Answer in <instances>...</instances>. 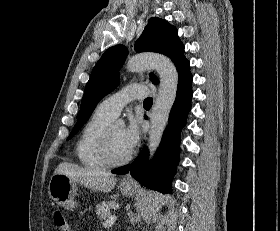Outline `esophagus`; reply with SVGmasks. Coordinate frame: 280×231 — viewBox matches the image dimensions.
<instances>
[{"label":"esophagus","mask_w":280,"mask_h":231,"mask_svg":"<svg viewBox=\"0 0 280 231\" xmlns=\"http://www.w3.org/2000/svg\"><path fill=\"white\" fill-rule=\"evenodd\" d=\"M123 180H127V181H130L131 180V176L130 175H126Z\"/></svg>","instance_id":"obj_1"}]
</instances>
